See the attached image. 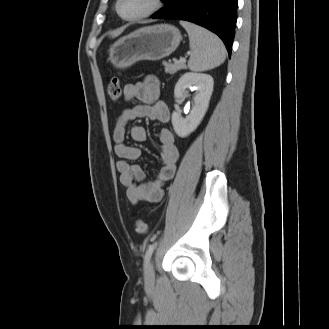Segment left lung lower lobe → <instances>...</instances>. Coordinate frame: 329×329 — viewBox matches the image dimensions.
Masks as SVG:
<instances>
[{"instance_id":"1","label":"left lung lower lobe","mask_w":329,"mask_h":329,"mask_svg":"<svg viewBox=\"0 0 329 329\" xmlns=\"http://www.w3.org/2000/svg\"><path fill=\"white\" fill-rule=\"evenodd\" d=\"M153 19H177L198 24L218 35L231 55L238 0H164Z\"/></svg>"}]
</instances>
